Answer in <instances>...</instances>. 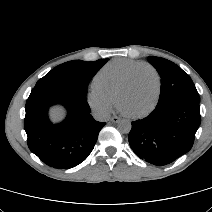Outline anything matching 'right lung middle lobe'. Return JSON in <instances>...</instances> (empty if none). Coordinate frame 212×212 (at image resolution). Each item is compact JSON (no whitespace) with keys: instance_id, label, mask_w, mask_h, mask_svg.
<instances>
[{"instance_id":"1","label":"right lung middle lobe","mask_w":212,"mask_h":212,"mask_svg":"<svg viewBox=\"0 0 212 212\" xmlns=\"http://www.w3.org/2000/svg\"><path fill=\"white\" fill-rule=\"evenodd\" d=\"M107 61L108 59H99L94 62L82 60L65 62L39 79L33 89H64L86 97L91 78Z\"/></svg>"}]
</instances>
